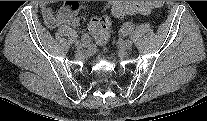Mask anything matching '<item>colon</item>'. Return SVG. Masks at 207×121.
I'll use <instances>...</instances> for the list:
<instances>
[{
	"label": "colon",
	"mask_w": 207,
	"mask_h": 121,
	"mask_svg": "<svg viewBox=\"0 0 207 121\" xmlns=\"http://www.w3.org/2000/svg\"><path fill=\"white\" fill-rule=\"evenodd\" d=\"M161 4L160 1H116L112 6V13L119 18L132 14H147ZM89 28L95 41L105 46L111 34L110 20L107 17H94L89 22Z\"/></svg>",
	"instance_id": "5ec220e1"
}]
</instances>
